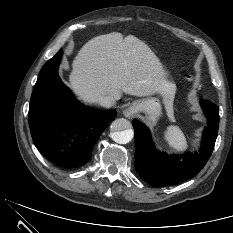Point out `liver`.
<instances>
[{
  "mask_svg": "<svg viewBox=\"0 0 233 233\" xmlns=\"http://www.w3.org/2000/svg\"><path fill=\"white\" fill-rule=\"evenodd\" d=\"M69 81L86 103H98L102 96L119 100L123 92L139 97L158 92L170 105L176 90L148 45L133 35L123 38L118 32L89 40L72 63Z\"/></svg>",
  "mask_w": 233,
  "mask_h": 233,
  "instance_id": "6515ba94",
  "label": "liver"
}]
</instances>
